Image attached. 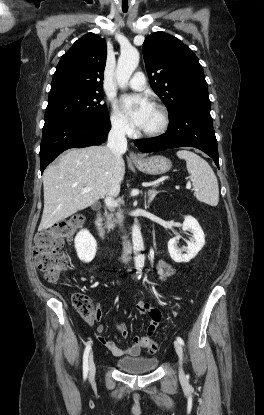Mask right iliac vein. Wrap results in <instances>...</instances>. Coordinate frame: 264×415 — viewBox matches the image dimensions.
<instances>
[{
    "label": "right iliac vein",
    "instance_id": "1",
    "mask_svg": "<svg viewBox=\"0 0 264 415\" xmlns=\"http://www.w3.org/2000/svg\"><path fill=\"white\" fill-rule=\"evenodd\" d=\"M89 367H90V371H89L90 379H93L94 376H95V371H96V366H95L93 353H91V355L89 357Z\"/></svg>",
    "mask_w": 264,
    "mask_h": 415
}]
</instances>
